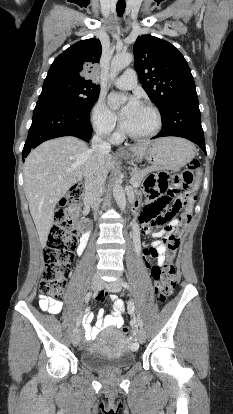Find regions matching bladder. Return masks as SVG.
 <instances>
[{
    "label": "bladder",
    "mask_w": 233,
    "mask_h": 414,
    "mask_svg": "<svg viewBox=\"0 0 233 414\" xmlns=\"http://www.w3.org/2000/svg\"><path fill=\"white\" fill-rule=\"evenodd\" d=\"M135 361L129 351L125 335L117 329L98 335L93 348L80 355V362L87 368L98 371L124 369Z\"/></svg>",
    "instance_id": "1"
}]
</instances>
